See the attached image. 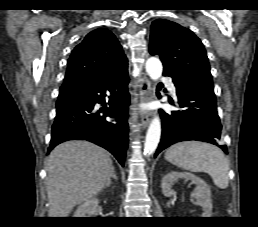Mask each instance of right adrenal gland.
Instances as JSON below:
<instances>
[{"label":"right adrenal gland","instance_id":"1","mask_svg":"<svg viewBox=\"0 0 258 227\" xmlns=\"http://www.w3.org/2000/svg\"><path fill=\"white\" fill-rule=\"evenodd\" d=\"M111 177H112L113 179L117 180V176H116V174H115L114 168L112 169V175H111ZM110 185H111V179H109L108 182L106 183V187H110Z\"/></svg>","mask_w":258,"mask_h":227}]
</instances>
